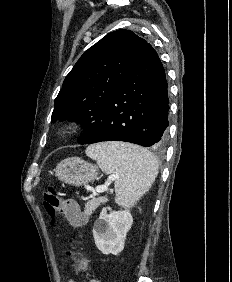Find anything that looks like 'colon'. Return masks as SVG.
Listing matches in <instances>:
<instances>
[{
  "label": "colon",
  "instance_id": "colon-1",
  "mask_svg": "<svg viewBox=\"0 0 232 282\" xmlns=\"http://www.w3.org/2000/svg\"><path fill=\"white\" fill-rule=\"evenodd\" d=\"M44 206L50 216H54L55 213L62 214L69 223L74 227L82 226L86 217L79 211L76 201L71 199H63L60 193L52 186L47 187L43 193ZM72 251H67L66 256L71 258ZM85 260L79 261V269H85ZM89 282H99L97 280H90Z\"/></svg>",
  "mask_w": 232,
  "mask_h": 282
}]
</instances>
